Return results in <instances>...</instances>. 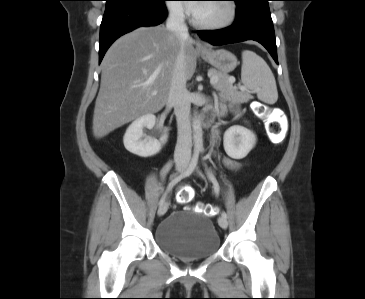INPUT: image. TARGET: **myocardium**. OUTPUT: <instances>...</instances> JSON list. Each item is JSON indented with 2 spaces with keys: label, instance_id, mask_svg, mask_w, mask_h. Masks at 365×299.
<instances>
[{
  "label": "myocardium",
  "instance_id": "1",
  "mask_svg": "<svg viewBox=\"0 0 365 299\" xmlns=\"http://www.w3.org/2000/svg\"><path fill=\"white\" fill-rule=\"evenodd\" d=\"M225 1L229 6V15L224 21L218 23H204L199 21L196 18L195 14H193L192 23L195 26L205 30H221L231 26L237 18L238 7L235 0H225Z\"/></svg>",
  "mask_w": 365,
  "mask_h": 299
}]
</instances>
